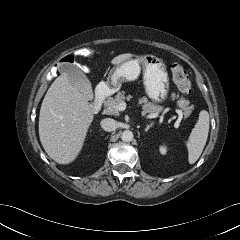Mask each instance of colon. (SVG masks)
Returning a JSON list of instances; mask_svg holds the SVG:
<instances>
[{
    "label": "colon",
    "instance_id": "5ec220e1",
    "mask_svg": "<svg viewBox=\"0 0 240 240\" xmlns=\"http://www.w3.org/2000/svg\"><path fill=\"white\" fill-rule=\"evenodd\" d=\"M94 54L92 48H82L75 52L74 55H67L60 60L61 64L73 63L74 56L91 57ZM173 81L180 92L187 94L191 91L192 84L186 69L180 64H174L171 68Z\"/></svg>",
    "mask_w": 240,
    "mask_h": 240
}]
</instances>
